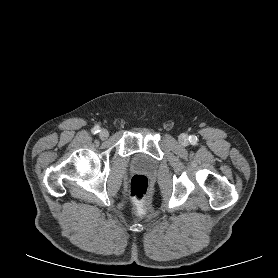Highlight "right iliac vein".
<instances>
[{"instance_id": "right-iliac-vein-1", "label": "right iliac vein", "mask_w": 278, "mask_h": 278, "mask_svg": "<svg viewBox=\"0 0 278 278\" xmlns=\"http://www.w3.org/2000/svg\"><path fill=\"white\" fill-rule=\"evenodd\" d=\"M99 136L101 139H107L109 136V132L106 129L100 130Z\"/></svg>"}]
</instances>
